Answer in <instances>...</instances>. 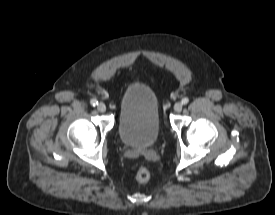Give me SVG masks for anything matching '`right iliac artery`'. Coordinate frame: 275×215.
Masks as SVG:
<instances>
[{"instance_id": "1", "label": "right iliac artery", "mask_w": 275, "mask_h": 215, "mask_svg": "<svg viewBox=\"0 0 275 215\" xmlns=\"http://www.w3.org/2000/svg\"><path fill=\"white\" fill-rule=\"evenodd\" d=\"M92 106H97L98 105V101L96 99H91L90 101Z\"/></svg>"}]
</instances>
